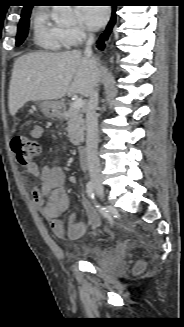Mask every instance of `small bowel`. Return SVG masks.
Here are the masks:
<instances>
[{
	"label": "small bowel",
	"mask_w": 184,
	"mask_h": 327,
	"mask_svg": "<svg viewBox=\"0 0 184 327\" xmlns=\"http://www.w3.org/2000/svg\"><path fill=\"white\" fill-rule=\"evenodd\" d=\"M33 138L42 135V127L34 125L30 129ZM29 175L37 177L40 181L32 190V199L35 206L49 221L53 233L59 237L75 240L81 238L86 231V223L70 217L67 226L64 225L61 215L69 208V196L64 188L65 174L57 164L46 165L40 168L32 162L26 166Z\"/></svg>",
	"instance_id": "obj_1"
}]
</instances>
